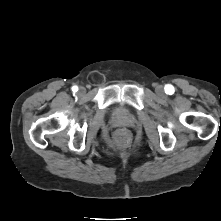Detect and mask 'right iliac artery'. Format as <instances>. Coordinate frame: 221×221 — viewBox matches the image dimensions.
Wrapping results in <instances>:
<instances>
[{"label":"right iliac artery","instance_id":"right-iliac-artery-1","mask_svg":"<svg viewBox=\"0 0 221 221\" xmlns=\"http://www.w3.org/2000/svg\"><path fill=\"white\" fill-rule=\"evenodd\" d=\"M72 91H73V92H77V91H78V87H77V86H73V87H72Z\"/></svg>","mask_w":221,"mask_h":221}]
</instances>
